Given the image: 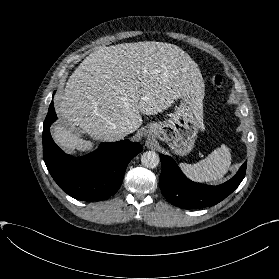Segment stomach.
<instances>
[{"label": "stomach", "mask_w": 279, "mask_h": 279, "mask_svg": "<svg viewBox=\"0 0 279 279\" xmlns=\"http://www.w3.org/2000/svg\"><path fill=\"white\" fill-rule=\"evenodd\" d=\"M202 127L201 109L196 107L192 97L181 96L169 118L150 124L146 135L165 141L175 154L184 156L194 148Z\"/></svg>", "instance_id": "stomach-1"}]
</instances>
